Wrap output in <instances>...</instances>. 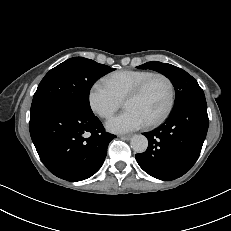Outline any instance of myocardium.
Listing matches in <instances>:
<instances>
[{"mask_svg": "<svg viewBox=\"0 0 231 231\" xmlns=\"http://www.w3.org/2000/svg\"><path fill=\"white\" fill-rule=\"evenodd\" d=\"M155 78H163L170 87V100L166 110L155 120L147 123L148 127H156L162 124L172 113L176 103V86L170 76L165 73L156 72L142 81L129 95L125 98L124 104L130 100L139 98Z\"/></svg>", "mask_w": 231, "mask_h": 231, "instance_id": "myocardium-1", "label": "myocardium"}]
</instances>
